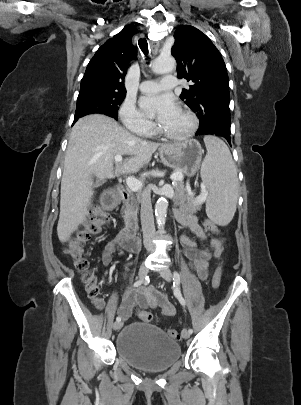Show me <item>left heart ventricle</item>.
<instances>
[{"instance_id":"left-heart-ventricle-1","label":"left heart ventricle","mask_w":301,"mask_h":405,"mask_svg":"<svg viewBox=\"0 0 301 405\" xmlns=\"http://www.w3.org/2000/svg\"><path fill=\"white\" fill-rule=\"evenodd\" d=\"M189 125V119L180 111L167 121L161 123L160 127L169 133L180 134L185 132L189 128Z\"/></svg>"}]
</instances>
